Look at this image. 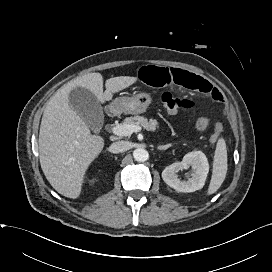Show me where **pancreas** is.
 I'll return each mask as SVG.
<instances>
[{"label":"pancreas","mask_w":272,"mask_h":272,"mask_svg":"<svg viewBox=\"0 0 272 272\" xmlns=\"http://www.w3.org/2000/svg\"><path fill=\"white\" fill-rule=\"evenodd\" d=\"M123 124H132L137 126H142L149 131H155L159 128V123L155 119L148 120L143 116H134L130 118H126Z\"/></svg>","instance_id":"pancreas-1"}]
</instances>
